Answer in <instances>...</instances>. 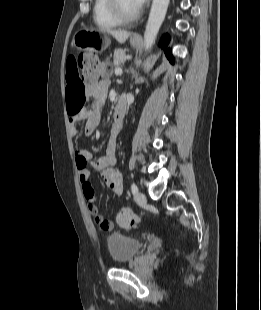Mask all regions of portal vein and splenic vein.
<instances>
[{
	"label": "portal vein and splenic vein",
	"mask_w": 261,
	"mask_h": 310,
	"mask_svg": "<svg viewBox=\"0 0 261 310\" xmlns=\"http://www.w3.org/2000/svg\"><path fill=\"white\" fill-rule=\"evenodd\" d=\"M115 75H117V76L122 75V69L116 68L115 69Z\"/></svg>",
	"instance_id": "obj_1"
}]
</instances>
